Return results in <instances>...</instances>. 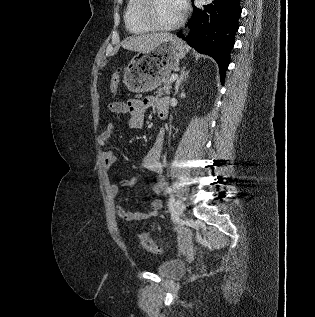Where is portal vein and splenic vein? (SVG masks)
<instances>
[{"label":"portal vein and splenic vein","mask_w":315,"mask_h":317,"mask_svg":"<svg viewBox=\"0 0 315 317\" xmlns=\"http://www.w3.org/2000/svg\"><path fill=\"white\" fill-rule=\"evenodd\" d=\"M177 78H178V75H177V74H173V75L170 77V82H174Z\"/></svg>","instance_id":"1"}]
</instances>
